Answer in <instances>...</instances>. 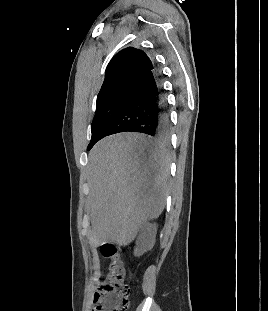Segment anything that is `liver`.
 I'll list each match as a JSON object with an SVG mask.
<instances>
[{
    "instance_id": "6515ba94",
    "label": "liver",
    "mask_w": 268,
    "mask_h": 311,
    "mask_svg": "<svg viewBox=\"0 0 268 311\" xmlns=\"http://www.w3.org/2000/svg\"><path fill=\"white\" fill-rule=\"evenodd\" d=\"M170 161L141 134H115L89 152L87 182L92 231L90 244L126 246L147 220L162 213L168 191Z\"/></svg>"
}]
</instances>
